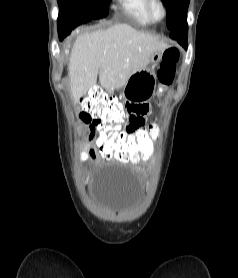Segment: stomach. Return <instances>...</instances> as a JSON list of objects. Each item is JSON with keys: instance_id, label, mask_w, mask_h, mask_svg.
<instances>
[{"instance_id": "1", "label": "stomach", "mask_w": 238, "mask_h": 278, "mask_svg": "<svg viewBox=\"0 0 238 278\" xmlns=\"http://www.w3.org/2000/svg\"><path fill=\"white\" fill-rule=\"evenodd\" d=\"M163 52L155 51L151 57V62L157 63L161 60ZM123 88L122 84L118 85ZM156 88V76L152 69L146 67L130 76L120 95L129 101L147 102L154 95Z\"/></svg>"}]
</instances>
